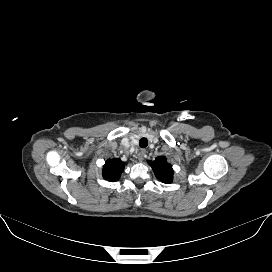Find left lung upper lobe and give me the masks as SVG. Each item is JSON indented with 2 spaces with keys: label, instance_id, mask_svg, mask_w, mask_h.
Listing matches in <instances>:
<instances>
[{
  "label": "left lung upper lobe",
  "instance_id": "left-lung-upper-lobe-1",
  "mask_svg": "<svg viewBox=\"0 0 272 272\" xmlns=\"http://www.w3.org/2000/svg\"><path fill=\"white\" fill-rule=\"evenodd\" d=\"M156 177L163 183L169 184L173 180L172 166L166 161V157L159 156L154 161H149Z\"/></svg>",
  "mask_w": 272,
  "mask_h": 272
}]
</instances>
